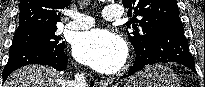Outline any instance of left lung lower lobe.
Wrapping results in <instances>:
<instances>
[{
	"label": "left lung lower lobe",
	"instance_id": "left-lung-lower-lobe-1",
	"mask_svg": "<svg viewBox=\"0 0 205 87\" xmlns=\"http://www.w3.org/2000/svg\"><path fill=\"white\" fill-rule=\"evenodd\" d=\"M160 62H177L195 71L194 59L189 52L182 23L172 24L161 29L144 52L136 53L133 66L121 78L133 75L146 65Z\"/></svg>",
	"mask_w": 205,
	"mask_h": 87
}]
</instances>
